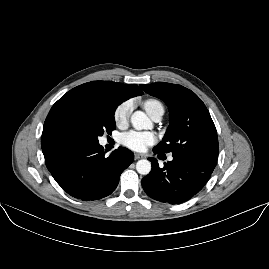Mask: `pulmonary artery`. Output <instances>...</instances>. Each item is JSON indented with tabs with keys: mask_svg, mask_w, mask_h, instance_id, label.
<instances>
[{
	"mask_svg": "<svg viewBox=\"0 0 269 269\" xmlns=\"http://www.w3.org/2000/svg\"><path fill=\"white\" fill-rule=\"evenodd\" d=\"M150 117L155 121V122H159L163 115H164V108L162 105H158L157 107H155L151 112H150ZM169 161L173 160V156L169 155L168 157Z\"/></svg>",
	"mask_w": 269,
	"mask_h": 269,
	"instance_id": "e3ab8cb5",
	"label": "pulmonary artery"
}]
</instances>
